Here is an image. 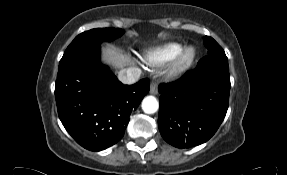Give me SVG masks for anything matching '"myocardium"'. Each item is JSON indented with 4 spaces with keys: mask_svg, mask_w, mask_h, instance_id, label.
I'll return each mask as SVG.
<instances>
[{
    "mask_svg": "<svg viewBox=\"0 0 287 175\" xmlns=\"http://www.w3.org/2000/svg\"><path fill=\"white\" fill-rule=\"evenodd\" d=\"M197 57V49L194 45L183 46L169 67L168 74L171 77H178L184 74L193 65Z\"/></svg>",
    "mask_w": 287,
    "mask_h": 175,
    "instance_id": "obj_1",
    "label": "myocardium"
}]
</instances>
